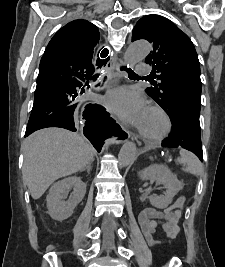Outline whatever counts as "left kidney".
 Listing matches in <instances>:
<instances>
[{"label":"left kidney","mask_w":225,"mask_h":267,"mask_svg":"<svg viewBox=\"0 0 225 267\" xmlns=\"http://www.w3.org/2000/svg\"><path fill=\"white\" fill-rule=\"evenodd\" d=\"M140 179L155 181L157 185H163L167 188L164 195L150 196L152 206L165 209L171 204L173 197L182 189V183L177 179L167 167L158 164H152L138 173Z\"/></svg>","instance_id":"1"}]
</instances>
